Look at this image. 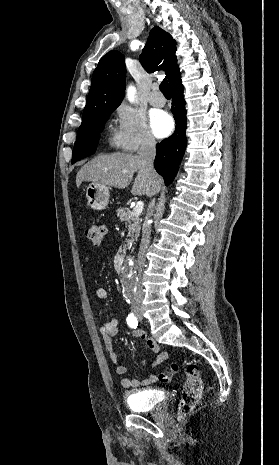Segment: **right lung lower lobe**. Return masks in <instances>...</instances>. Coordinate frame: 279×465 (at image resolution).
<instances>
[{
  "instance_id": "right-lung-lower-lobe-1",
  "label": "right lung lower lobe",
  "mask_w": 279,
  "mask_h": 465,
  "mask_svg": "<svg viewBox=\"0 0 279 465\" xmlns=\"http://www.w3.org/2000/svg\"><path fill=\"white\" fill-rule=\"evenodd\" d=\"M173 93L171 111L177 124L172 136L156 145V171L164 178L165 185H169L176 173L180 160L186 148V109L181 80L171 87Z\"/></svg>"
}]
</instances>
